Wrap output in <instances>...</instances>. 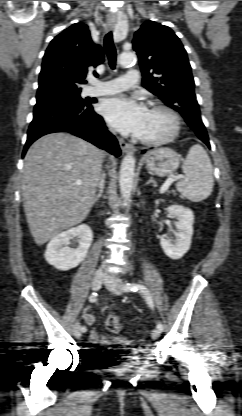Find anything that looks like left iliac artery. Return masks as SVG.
<instances>
[{"instance_id": "44dca946", "label": "left iliac artery", "mask_w": 242, "mask_h": 416, "mask_svg": "<svg viewBox=\"0 0 242 416\" xmlns=\"http://www.w3.org/2000/svg\"><path fill=\"white\" fill-rule=\"evenodd\" d=\"M123 290L126 291V292H129V291H133V292L140 291L144 295L145 300H146L147 304L149 305V307L150 308H154V303H153L152 296H151L149 290L144 285L136 284V283H126L123 286ZM157 329H159L160 331L163 330V324L161 322H158L157 323Z\"/></svg>"}]
</instances>
